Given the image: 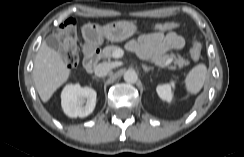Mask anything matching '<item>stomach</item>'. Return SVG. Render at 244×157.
<instances>
[{"label": "stomach", "instance_id": "1", "mask_svg": "<svg viewBox=\"0 0 244 157\" xmlns=\"http://www.w3.org/2000/svg\"><path fill=\"white\" fill-rule=\"evenodd\" d=\"M137 32V25L132 21H114L101 26L88 23L82 27V35L87 46L101 45L104 38L111 42H121L132 37Z\"/></svg>", "mask_w": 244, "mask_h": 157}]
</instances>
